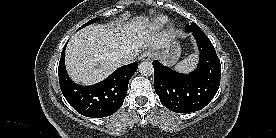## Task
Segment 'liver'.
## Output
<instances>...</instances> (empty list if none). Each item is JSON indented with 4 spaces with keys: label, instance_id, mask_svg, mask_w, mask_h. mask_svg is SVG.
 Listing matches in <instances>:
<instances>
[{
    "label": "liver",
    "instance_id": "1",
    "mask_svg": "<svg viewBox=\"0 0 276 138\" xmlns=\"http://www.w3.org/2000/svg\"><path fill=\"white\" fill-rule=\"evenodd\" d=\"M171 39L169 33H154L146 16H137L124 25H90L70 38L65 53L66 69L73 81L92 85L121 65L116 59L119 52L131 49L137 55L141 48H163Z\"/></svg>",
    "mask_w": 276,
    "mask_h": 138
}]
</instances>
